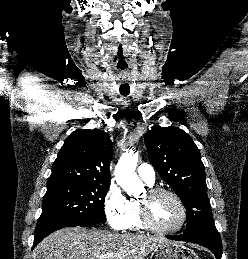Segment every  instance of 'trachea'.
Segmentation results:
<instances>
[{"mask_svg":"<svg viewBox=\"0 0 248 259\" xmlns=\"http://www.w3.org/2000/svg\"><path fill=\"white\" fill-rule=\"evenodd\" d=\"M123 96H127L128 94H122Z\"/></svg>","mask_w":248,"mask_h":259,"instance_id":"trachea-1","label":"trachea"}]
</instances>
